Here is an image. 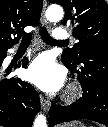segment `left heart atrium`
I'll return each instance as SVG.
<instances>
[{"mask_svg":"<svg viewBox=\"0 0 108 127\" xmlns=\"http://www.w3.org/2000/svg\"><path fill=\"white\" fill-rule=\"evenodd\" d=\"M27 79L46 92L59 90L65 81V71L47 54L36 57L27 69Z\"/></svg>","mask_w":108,"mask_h":127,"instance_id":"obj_1","label":"left heart atrium"}]
</instances>
